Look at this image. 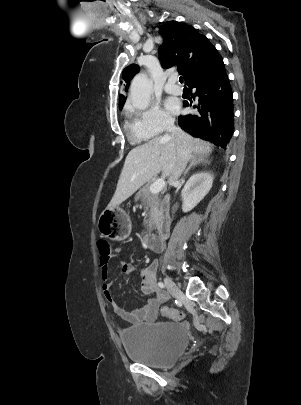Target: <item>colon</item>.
<instances>
[{
    "instance_id": "1",
    "label": "colon",
    "mask_w": 301,
    "mask_h": 405,
    "mask_svg": "<svg viewBox=\"0 0 301 405\" xmlns=\"http://www.w3.org/2000/svg\"><path fill=\"white\" fill-rule=\"evenodd\" d=\"M97 247L100 253V256L102 257H108L111 253V247L110 244L105 241V240H99L97 242ZM161 313L163 316L168 317L174 321H182L184 319V313L176 310V309H171L168 307H162L161 308Z\"/></svg>"
}]
</instances>
